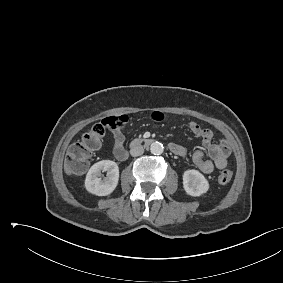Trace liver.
<instances>
[{"label":"liver","instance_id":"obj_1","mask_svg":"<svg viewBox=\"0 0 283 283\" xmlns=\"http://www.w3.org/2000/svg\"><path fill=\"white\" fill-rule=\"evenodd\" d=\"M65 171L68 172V166L65 164Z\"/></svg>","mask_w":283,"mask_h":283}]
</instances>
